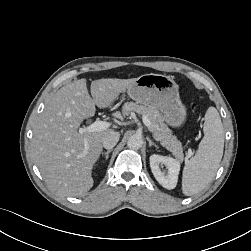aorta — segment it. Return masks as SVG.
I'll use <instances>...</instances> for the list:
<instances>
[{
  "instance_id": "aorta-1",
  "label": "aorta",
  "mask_w": 251,
  "mask_h": 251,
  "mask_svg": "<svg viewBox=\"0 0 251 251\" xmlns=\"http://www.w3.org/2000/svg\"><path fill=\"white\" fill-rule=\"evenodd\" d=\"M143 145V140L140 135H132L128 138L127 146L130 149L137 150L140 149Z\"/></svg>"
}]
</instances>
